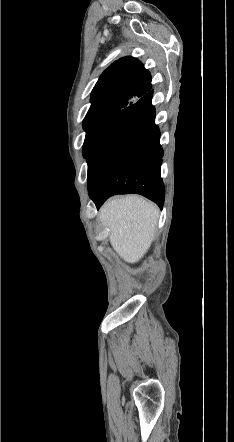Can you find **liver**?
I'll return each mask as SVG.
<instances>
[{
  "label": "liver",
  "instance_id": "obj_1",
  "mask_svg": "<svg viewBox=\"0 0 234 442\" xmlns=\"http://www.w3.org/2000/svg\"><path fill=\"white\" fill-rule=\"evenodd\" d=\"M158 216L157 206L137 195L109 199L99 215L110 230L112 247L128 263L138 262L148 251Z\"/></svg>",
  "mask_w": 234,
  "mask_h": 442
}]
</instances>
